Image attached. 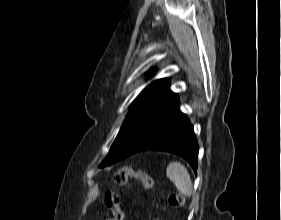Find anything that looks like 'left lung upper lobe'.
<instances>
[{
  "label": "left lung upper lobe",
  "instance_id": "5c2ea615",
  "mask_svg": "<svg viewBox=\"0 0 281 220\" xmlns=\"http://www.w3.org/2000/svg\"><path fill=\"white\" fill-rule=\"evenodd\" d=\"M169 80L149 84L133 101L126 119L99 167H105L138 152L152 137L170 109L179 101L169 89Z\"/></svg>",
  "mask_w": 281,
  "mask_h": 220
}]
</instances>
